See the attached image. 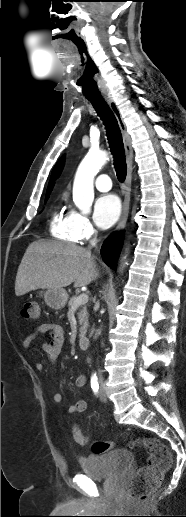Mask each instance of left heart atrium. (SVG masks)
<instances>
[{"label": "left heart atrium", "mask_w": 186, "mask_h": 517, "mask_svg": "<svg viewBox=\"0 0 186 517\" xmlns=\"http://www.w3.org/2000/svg\"><path fill=\"white\" fill-rule=\"evenodd\" d=\"M121 212L120 200L117 196L108 194L99 197L94 205V220L96 224L107 229L119 218Z\"/></svg>", "instance_id": "39dd6f15"}]
</instances>
